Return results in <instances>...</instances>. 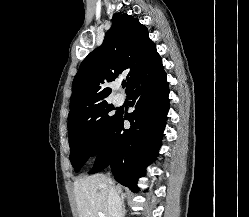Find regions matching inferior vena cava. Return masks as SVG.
Returning a JSON list of instances; mask_svg holds the SVG:
<instances>
[{"label": "inferior vena cava", "mask_w": 249, "mask_h": 217, "mask_svg": "<svg viewBox=\"0 0 249 217\" xmlns=\"http://www.w3.org/2000/svg\"><path fill=\"white\" fill-rule=\"evenodd\" d=\"M108 205L110 217H122V201L112 183L109 186Z\"/></svg>", "instance_id": "1"}]
</instances>
